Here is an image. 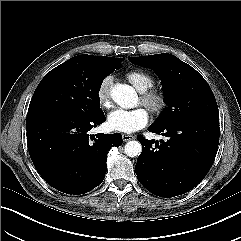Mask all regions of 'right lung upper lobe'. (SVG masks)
Instances as JSON below:
<instances>
[{
	"instance_id": "1",
	"label": "right lung upper lobe",
	"mask_w": 241,
	"mask_h": 241,
	"mask_svg": "<svg viewBox=\"0 0 241 241\" xmlns=\"http://www.w3.org/2000/svg\"><path fill=\"white\" fill-rule=\"evenodd\" d=\"M79 58L85 60H95L100 62H121L122 58H111V57H104V56H92V55H78Z\"/></svg>"
}]
</instances>
